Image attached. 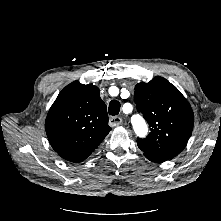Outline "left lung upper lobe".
Instances as JSON below:
<instances>
[{
    "label": "left lung upper lobe",
    "mask_w": 221,
    "mask_h": 221,
    "mask_svg": "<svg viewBox=\"0 0 221 221\" xmlns=\"http://www.w3.org/2000/svg\"><path fill=\"white\" fill-rule=\"evenodd\" d=\"M138 112L147 120L150 133L137 139L145 156L172 159L186 146L194 123L192 108L179 90L166 79L156 76L135 86Z\"/></svg>",
    "instance_id": "obj_1"
}]
</instances>
